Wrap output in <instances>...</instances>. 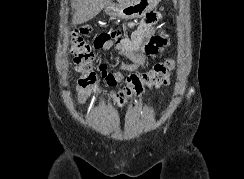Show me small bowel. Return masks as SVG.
Returning <instances> with one entry per match:
<instances>
[{
  "mask_svg": "<svg viewBox=\"0 0 244 179\" xmlns=\"http://www.w3.org/2000/svg\"><path fill=\"white\" fill-rule=\"evenodd\" d=\"M161 20L162 16L158 9L154 13V18H129L127 27L133 28L130 35L125 33V28L103 32L95 38L94 48L98 54L115 48L120 57L128 58L132 62L131 64L122 62L120 68L124 71H137L163 53L168 44L166 32L156 29ZM112 35L114 40L110 38ZM99 69L110 85L119 84L124 80L123 73L109 70L105 62L99 64ZM75 95L78 103H85L84 91L77 89Z\"/></svg>",
  "mask_w": 244,
  "mask_h": 179,
  "instance_id": "obj_1",
  "label": "small bowel"
}]
</instances>
